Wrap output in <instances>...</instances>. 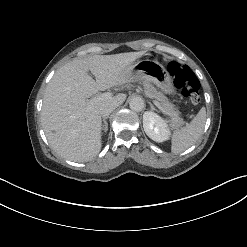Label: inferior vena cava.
Instances as JSON below:
<instances>
[{
	"label": "inferior vena cava",
	"mask_w": 247,
	"mask_h": 247,
	"mask_svg": "<svg viewBox=\"0 0 247 247\" xmlns=\"http://www.w3.org/2000/svg\"><path fill=\"white\" fill-rule=\"evenodd\" d=\"M118 106L119 102L117 101L103 103L100 108V113L103 117H107Z\"/></svg>",
	"instance_id": "obj_1"
}]
</instances>
